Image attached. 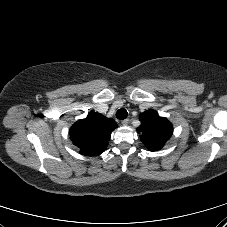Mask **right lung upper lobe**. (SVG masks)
I'll return each instance as SVG.
<instances>
[{
	"instance_id": "obj_1",
	"label": "right lung upper lobe",
	"mask_w": 227,
	"mask_h": 227,
	"mask_svg": "<svg viewBox=\"0 0 227 227\" xmlns=\"http://www.w3.org/2000/svg\"><path fill=\"white\" fill-rule=\"evenodd\" d=\"M115 128L117 124L113 119L91 111L85 119L78 120L70 128L69 135L80 154L96 156L105 151Z\"/></svg>"
}]
</instances>
